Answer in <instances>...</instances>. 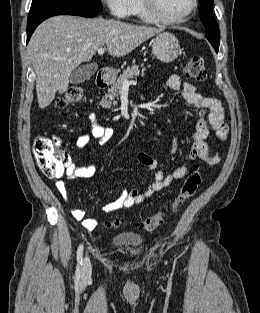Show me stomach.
<instances>
[{
	"label": "stomach",
	"mask_w": 260,
	"mask_h": 313,
	"mask_svg": "<svg viewBox=\"0 0 260 313\" xmlns=\"http://www.w3.org/2000/svg\"><path fill=\"white\" fill-rule=\"evenodd\" d=\"M153 54L164 63L177 59L181 53L178 39L170 32H160L152 41Z\"/></svg>",
	"instance_id": "0dacf381"
}]
</instances>
